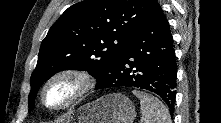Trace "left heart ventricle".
Returning <instances> with one entry per match:
<instances>
[{"label": "left heart ventricle", "instance_id": "1", "mask_svg": "<svg viewBox=\"0 0 221 123\" xmlns=\"http://www.w3.org/2000/svg\"><path fill=\"white\" fill-rule=\"evenodd\" d=\"M74 90L75 85L71 80H59L48 88L45 100L51 106L60 105L72 96Z\"/></svg>", "mask_w": 221, "mask_h": 123}]
</instances>
